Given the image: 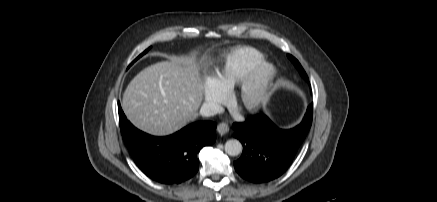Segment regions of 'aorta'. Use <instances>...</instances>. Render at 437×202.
I'll list each match as a JSON object with an SVG mask.
<instances>
[{
    "mask_svg": "<svg viewBox=\"0 0 437 202\" xmlns=\"http://www.w3.org/2000/svg\"><path fill=\"white\" fill-rule=\"evenodd\" d=\"M225 152L230 156H237L242 152V144L236 139H230L225 143Z\"/></svg>",
    "mask_w": 437,
    "mask_h": 202,
    "instance_id": "1",
    "label": "aorta"
}]
</instances>
